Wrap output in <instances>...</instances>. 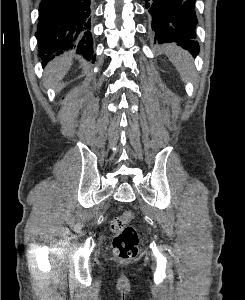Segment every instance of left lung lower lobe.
<instances>
[{
	"label": "left lung lower lobe",
	"instance_id": "left-lung-lower-lobe-1",
	"mask_svg": "<svg viewBox=\"0 0 245 300\" xmlns=\"http://www.w3.org/2000/svg\"><path fill=\"white\" fill-rule=\"evenodd\" d=\"M145 8L152 16L155 43H177L190 53H199L195 38L197 24L195 0H145Z\"/></svg>",
	"mask_w": 245,
	"mask_h": 300
}]
</instances>
